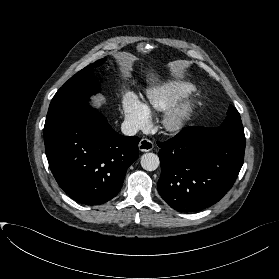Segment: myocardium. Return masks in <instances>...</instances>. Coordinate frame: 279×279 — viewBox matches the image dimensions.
<instances>
[{"instance_id":"obj_1","label":"myocardium","mask_w":279,"mask_h":279,"mask_svg":"<svg viewBox=\"0 0 279 279\" xmlns=\"http://www.w3.org/2000/svg\"><path fill=\"white\" fill-rule=\"evenodd\" d=\"M196 99L188 96L167 110L162 120L163 129L171 134L180 133L191 120Z\"/></svg>"}]
</instances>
